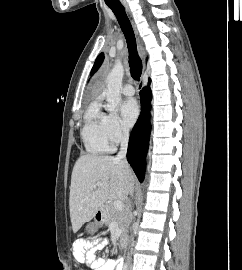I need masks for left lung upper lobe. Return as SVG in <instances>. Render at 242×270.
<instances>
[{
  "instance_id": "1",
  "label": "left lung upper lobe",
  "mask_w": 242,
  "mask_h": 270,
  "mask_svg": "<svg viewBox=\"0 0 242 270\" xmlns=\"http://www.w3.org/2000/svg\"><path fill=\"white\" fill-rule=\"evenodd\" d=\"M103 59H104V54L103 53L99 54V56L97 57V59L95 61V64L93 66L91 73H93L94 71H96L100 67Z\"/></svg>"
}]
</instances>
